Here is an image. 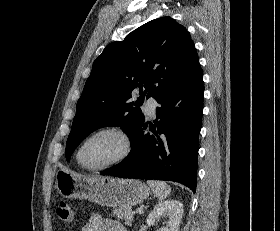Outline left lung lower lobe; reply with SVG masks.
<instances>
[{"instance_id": "0a47b994", "label": "left lung lower lobe", "mask_w": 280, "mask_h": 231, "mask_svg": "<svg viewBox=\"0 0 280 231\" xmlns=\"http://www.w3.org/2000/svg\"><path fill=\"white\" fill-rule=\"evenodd\" d=\"M203 71L201 67L156 101V119L141 123L130 137L131 152L121 163L101 171L123 178L179 182L196 189L198 138L203 113ZM151 125V124H150Z\"/></svg>"}]
</instances>
